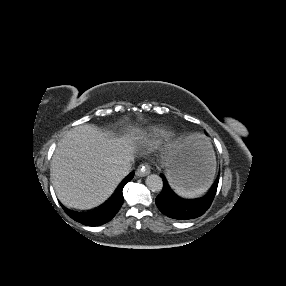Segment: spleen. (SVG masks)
I'll list each match as a JSON object with an SVG mask.
<instances>
[{
  "label": "spleen",
  "instance_id": "1",
  "mask_svg": "<svg viewBox=\"0 0 286 286\" xmlns=\"http://www.w3.org/2000/svg\"><path fill=\"white\" fill-rule=\"evenodd\" d=\"M209 186L210 184L203 186V187H199V188L189 189L184 186L176 185L174 186V188H175V192L178 195L182 197H186V198H192V197L200 196L204 194L208 190Z\"/></svg>",
  "mask_w": 286,
  "mask_h": 286
}]
</instances>
